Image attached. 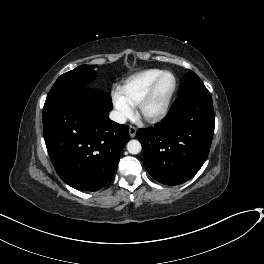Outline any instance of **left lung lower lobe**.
<instances>
[{
	"instance_id": "left-lung-lower-lobe-1",
	"label": "left lung lower lobe",
	"mask_w": 264,
	"mask_h": 264,
	"mask_svg": "<svg viewBox=\"0 0 264 264\" xmlns=\"http://www.w3.org/2000/svg\"><path fill=\"white\" fill-rule=\"evenodd\" d=\"M214 121L207 89L179 95L162 122L137 131L148 173L171 186L192 178L208 156Z\"/></svg>"
}]
</instances>
